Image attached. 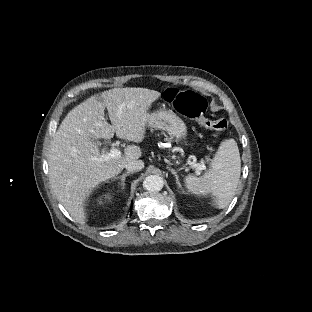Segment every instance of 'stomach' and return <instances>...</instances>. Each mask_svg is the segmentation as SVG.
<instances>
[{
    "label": "stomach",
    "instance_id": "stomach-1",
    "mask_svg": "<svg viewBox=\"0 0 312 312\" xmlns=\"http://www.w3.org/2000/svg\"><path fill=\"white\" fill-rule=\"evenodd\" d=\"M148 125L169 133L177 144L187 137V125L172 110H159L149 115Z\"/></svg>",
    "mask_w": 312,
    "mask_h": 312
}]
</instances>
